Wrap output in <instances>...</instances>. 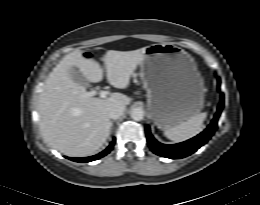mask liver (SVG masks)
I'll return each instance as SVG.
<instances>
[{"instance_id":"obj_1","label":"liver","mask_w":260,"mask_h":205,"mask_svg":"<svg viewBox=\"0 0 260 205\" xmlns=\"http://www.w3.org/2000/svg\"><path fill=\"white\" fill-rule=\"evenodd\" d=\"M145 51L146 47L133 51L108 50L104 57L108 83L115 88H127L144 60ZM75 68L89 82L103 79L100 65L94 59H86L83 51L67 54L46 79L38 112L42 135L53 148L67 156L84 157L95 153L109 137L112 127L109 108L125 107L131 99L118 92L107 98L85 97V87L71 77Z\"/></svg>"}]
</instances>
